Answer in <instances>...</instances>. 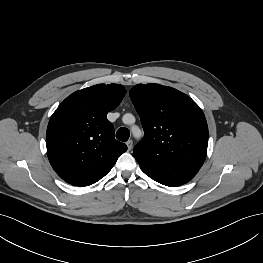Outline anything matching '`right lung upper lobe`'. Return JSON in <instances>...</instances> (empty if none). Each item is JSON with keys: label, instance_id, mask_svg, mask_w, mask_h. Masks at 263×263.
<instances>
[{"label": "right lung upper lobe", "instance_id": "cb5924a9", "mask_svg": "<svg viewBox=\"0 0 263 263\" xmlns=\"http://www.w3.org/2000/svg\"><path fill=\"white\" fill-rule=\"evenodd\" d=\"M126 90L119 84H98L74 92L50 118L47 154L56 173L77 186L94 184L115 165L127 146L114 138L106 115L114 110Z\"/></svg>", "mask_w": 263, "mask_h": 263}]
</instances>
